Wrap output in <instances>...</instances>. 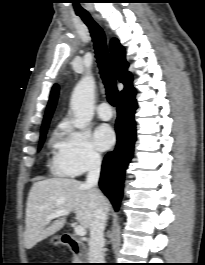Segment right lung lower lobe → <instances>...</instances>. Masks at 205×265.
Segmentation results:
<instances>
[{
  "label": "right lung lower lobe",
  "instance_id": "right-lung-lower-lobe-1",
  "mask_svg": "<svg viewBox=\"0 0 205 265\" xmlns=\"http://www.w3.org/2000/svg\"><path fill=\"white\" fill-rule=\"evenodd\" d=\"M137 102L133 98L119 102L117 107L115 150L109 152L102 163L99 185L104 194L110 199L114 209L118 211L123 191L125 169L132 156L136 140L134 113Z\"/></svg>",
  "mask_w": 205,
  "mask_h": 265
}]
</instances>
